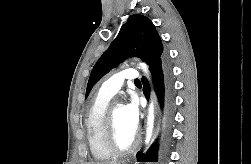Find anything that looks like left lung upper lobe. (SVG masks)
Masks as SVG:
<instances>
[{
  "label": "left lung upper lobe",
  "mask_w": 251,
  "mask_h": 164,
  "mask_svg": "<svg viewBox=\"0 0 251 164\" xmlns=\"http://www.w3.org/2000/svg\"><path fill=\"white\" fill-rule=\"evenodd\" d=\"M128 56H137L146 61L149 69L163 59V45L149 18L134 14L121 27L117 37L100 57L89 77L86 97L92 87L113 67Z\"/></svg>",
  "instance_id": "1"
}]
</instances>
